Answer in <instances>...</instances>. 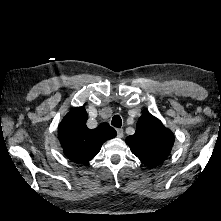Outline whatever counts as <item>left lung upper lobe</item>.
Here are the masks:
<instances>
[{
  "mask_svg": "<svg viewBox=\"0 0 221 221\" xmlns=\"http://www.w3.org/2000/svg\"><path fill=\"white\" fill-rule=\"evenodd\" d=\"M132 153L147 166H156L169 155L174 135L162 122L149 113L138 119L134 135L126 138Z\"/></svg>",
  "mask_w": 221,
  "mask_h": 221,
  "instance_id": "obj_1",
  "label": "left lung upper lobe"
}]
</instances>
